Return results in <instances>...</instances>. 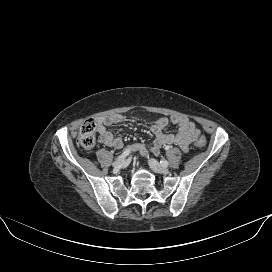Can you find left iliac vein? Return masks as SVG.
<instances>
[{"mask_svg": "<svg viewBox=\"0 0 272 272\" xmlns=\"http://www.w3.org/2000/svg\"><path fill=\"white\" fill-rule=\"evenodd\" d=\"M149 166L156 173L167 174L169 172V169L166 166L161 165L155 159L149 160Z\"/></svg>", "mask_w": 272, "mask_h": 272, "instance_id": "obj_1", "label": "left iliac vein"}]
</instances>
